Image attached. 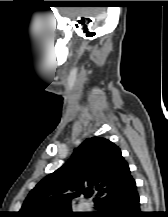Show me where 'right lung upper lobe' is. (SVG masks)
Wrapping results in <instances>:
<instances>
[{"label":"right lung upper lobe","instance_id":"cb5924a9","mask_svg":"<svg viewBox=\"0 0 168 217\" xmlns=\"http://www.w3.org/2000/svg\"><path fill=\"white\" fill-rule=\"evenodd\" d=\"M136 188L127 162L114 143L99 137L86 139L58 170L42 179L25 199L19 217L81 215L97 212H73L76 198L96 193L95 208L129 194Z\"/></svg>","mask_w":168,"mask_h":217}]
</instances>
